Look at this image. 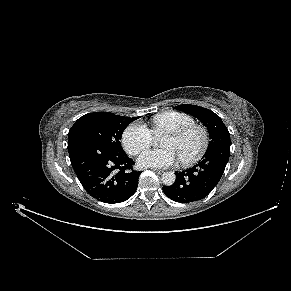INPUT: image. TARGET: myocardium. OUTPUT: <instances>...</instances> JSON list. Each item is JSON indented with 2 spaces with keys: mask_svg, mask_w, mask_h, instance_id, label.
I'll list each match as a JSON object with an SVG mask.
<instances>
[{
  "mask_svg": "<svg viewBox=\"0 0 291 291\" xmlns=\"http://www.w3.org/2000/svg\"><path fill=\"white\" fill-rule=\"evenodd\" d=\"M194 132H198L200 134L201 142H200V145H199L197 151L193 155H191L190 157H187V158L180 159V162L184 165L193 164V163L197 162L202 157V155L206 151L208 144H209L208 129L203 125L192 124V125H189V126H186V127H183V128L166 133V135L171 136L173 138L182 139V138L186 137L187 135L194 133Z\"/></svg>",
  "mask_w": 291,
  "mask_h": 291,
  "instance_id": "myocardium-1",
  "label": "myocardium"
}]
</instances>
